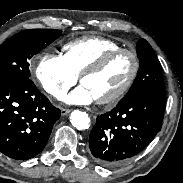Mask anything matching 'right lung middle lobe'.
I'll return each instance as SVG.
<instances>
[{
	"label": "right lung middle lobe",
	"instance_id": "obj_1",
	"mask_svg": "<svg viewBox=\"0 0 183 183\" xmlns=\"http://www.w3.org/2000/svg\"><path fill=\"white\" fill-rule=\"evenodd\" d=\"M61 33L55 29L25 30L6 40L0 46V80L29 78V60Z\"/></svg>",
	"mask_w": 183,
	"mask_h": 183
}]
</instances>
